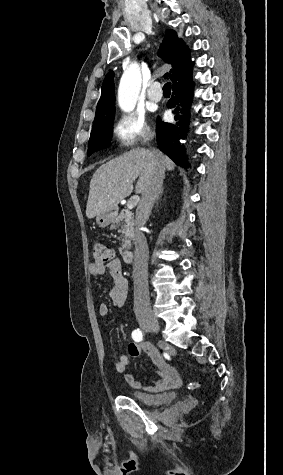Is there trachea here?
Returning a JSON list of instances; mask_svg holds the SVG:
<instances>
[{
    "label": "trachea",
    "instance_id": "1",
    "mask_svg": "<svg viewBox=\"0 0 283 475\" xmlns=\"http://www.w3.org/2000/svg\"><path fill=\"white\" fill-rule=\"evenodd\" d=\"M163 92H171V83L168 82V83H165V85L163 86Z\"/></svg>",
    "mask_w": 283,
    "mask_h": 475
}]
</instances>
